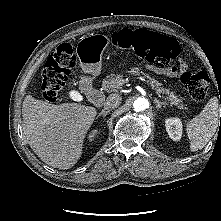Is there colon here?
I'll use <instances>...</instances> for the list:
<instances>
[{"label": "colon", "mask_w": 221, "mask_h": 221, "mask_svg": "<svg viewBox=\"0 0 221 221\" xmlns=\"http://www.w3.org/2000/svg\"><path fill=\"white\" fill-rule=\"evenodd\" d=\"M112 41L119 48H133L141 58L160 68L172 66L180 53L176 40L145 29H123L112 35ZM76 64L77 58L71 44L63 43L52 52L42 72L41 91L46 101L58 100ZM180 80L193 100L202 102L207 98L210 79L206 73L186 71Z\"/></svg>", "instance_id": "5ec220e1"}]
</instances>
